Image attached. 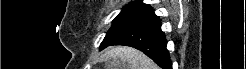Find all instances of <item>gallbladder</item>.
<instances>
[{"label": "gallbladder", "mask_w": 246, "mask_h": 69, "mask_svg": "<svg viewBox=\"0 0 246 69\" xmlns=\"http://www.w3.org/2000/svg\"><path fill=\"white\" fill-rule=\"evenodd\" d=\"M105 68L106 69H117L116 61L113 59L108 60L105 64Z\"/></svg>", "instance_id": "bac80fb5"}]
</instances>
